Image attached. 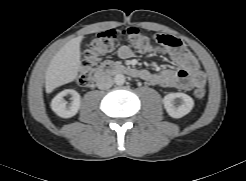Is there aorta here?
Listing matches in <instances>:
<instances>
[{
	"label": "aorta",
	"instance_id": "obj_1",
	"mask_svg": "<svg viewBox=\"0 0 246 181\" xmlns=\"http://www.w3.org/2000/svg\"><path fill=\"white\" fill-rule=\"evenodd\" d=\"M113 81L116 85H123L126 81V78L123 74H117L114 76Z\"/></svg>",
	"mask_w": 246,
	"mask_h": 181
}]
</instances>
